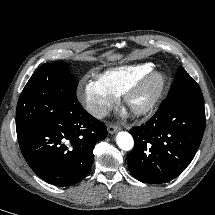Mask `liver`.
<instances>
[{"instance_id": "obj_1", "label": "liver", "mask_w": 215, "mask_h": 215, "mask_svg": "<svg viewBox=\"0 0 215 215\" xmlns=\"http://www.w3.org/2000/svg\"><path fill=\"white\" fill-rule=\"evenodd\" d=\"M108 58L110 60H114V59L120 58V55H112V56H109Z\"/></svg>"}]
</instances>
